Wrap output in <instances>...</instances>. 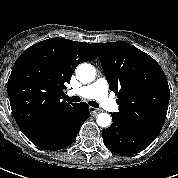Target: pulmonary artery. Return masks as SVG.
<instances>
[{"label": "pulmonary artery", "mask_w": 178, "mask_h": 178, "mask_svg": "<svg viewBox=\"0 0 178 178\" xmlns=\"http://www.w3.org/2000/svg\"><path fill=\"white\" fill-rule=\"evenodd\" d=\"M108 83L106 79L99 78L90 85L77 89H70L68 94L71 96H80L88 99H96L100 104L109 111L118 109L117 104L108 96Z\"/></svg>", "instance_id": "1"}]
</instances>
